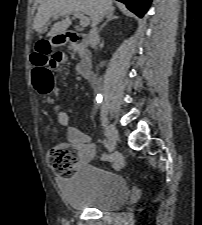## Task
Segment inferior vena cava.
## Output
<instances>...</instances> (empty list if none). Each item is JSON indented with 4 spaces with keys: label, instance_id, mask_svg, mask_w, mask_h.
<instances>
[{
    "label": "inferior vena cava",
    "instance_id": "obj_1",
    "mask_svg": "<svg viewBox=\"0 0 202 225\" xmlns=\"http://www.w3.org/2000/svg\"><path fill=\"white\" fill-rule=\"evenodd\" d=\"M102 19V12H100V15L95 23V25L93 26V28L91 29L90 33H89V41L92 45V47L95 46L96 42L98 41L99 39V36H98V31H97V28H96V25L99 23V21Z\"/></svg>",
    "mask_w": 202,
    "mask_h": 225
}]
</instances>
